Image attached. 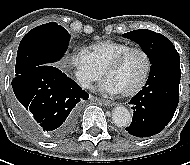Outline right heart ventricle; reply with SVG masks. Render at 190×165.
<instances>
[{
  "instance_id": "1",
  "label": "right heart ventricle",
  "mask_w": 190,
  "mask_h": 165,
  "mask_svg": "<svg viewBox=\"0 0 190 165\" xmlns=\"http://www.w3.org/2000/svg\"><path fill=\"white\" fill-rule=\"evenodd\" d=\"M131 47L129 44L113 40H104L89 46L95 64L104 72L106 66L122 51Z\"/></svg>"
}]
</instances>
